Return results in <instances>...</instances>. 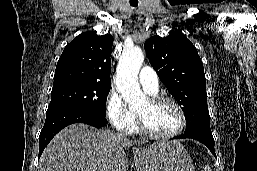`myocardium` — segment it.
<instances>
[{"label": "myocardium", "instance_id": "1", "mask_svg": "<svg viewBox=\"0 0 257 171\" xmlns=\"http://www.w3.org/2000/svg\"><path fill=\"white\" fill-rule=\"evenodd\" d=\"M150 103L153 105L159 104V103H170L172 104L175 109L177 110L179 117H180V124L178 126V128L172 132L169 133H159L156 131L151 130L145 123L143 117L137 113V125H138V129L148 135L151 136L153 138H158V139H170L173 137L178 136L179 134H181L183 132V130L186 127L187 124V119H186V114L183 110V108L181 107V105L172 97L169 96H164V95H154L152 97H150L149 99Z\"/></svg>", "mask_w": 257, "mask_h": 171}]
</instances>
